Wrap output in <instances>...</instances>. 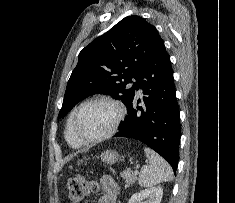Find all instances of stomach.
Segmentation results:
<instances>
[{
	"label": "stomach",
	"instance_id": "1",
	"mask_svg": "<svg viewBox=\"0 0 235 203\" xmlns=\"http://www.w3.org/2000/svg\"><path fill=\"white\" fill-rule=\"evenodd\" d=\"M101 159L109 164H114L119 160V154L115 150H106L101 154Z\"/></svg>",
	"mask_w": 235,
	"mask_h": 203
}]
</instances>
